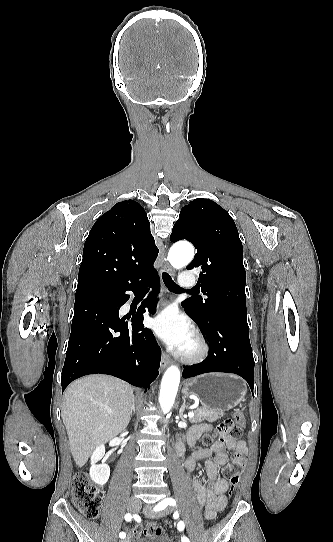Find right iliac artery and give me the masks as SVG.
I'll use <instances>...</instances> for the list:
<instances>
[{
  "mask_svg": "<svg viewBox=\"0 0 333 542\" xmlns=\"http://www.w3.org/2000/svg\"><path fill=\"white\" fill-rule=\"evenodd\" d=\"M131 518H132V517H131L130 514H126V515H125V520H126V521H130ZM119 537H120L121 539H123V538L126 537V534H125L124 532H121V533L119 534Z\"/></svg>",
  "mask_w": 333,
  "mask_h": 542,
  "instance_id": "obj_1",
  "label": "right iliac artery"
}]
</instances>
